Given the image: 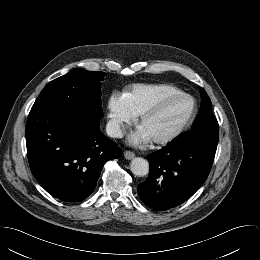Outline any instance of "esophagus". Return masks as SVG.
<instances>
[{"instance_id":"1","label":"esophagus","mask_w":260,"mask_h":260,"mask_svg":"<svg viewBox=\"0 0 260 260\" xmlns=\"http://www.w3.org/2000/svg\"><path fill=\"white\" fill-rule=\"evenodd\" d=\"M124 157L127 159V160H131L135 157V154L131 151H125L124 152Z\"/></svg>"}]
</instances>
